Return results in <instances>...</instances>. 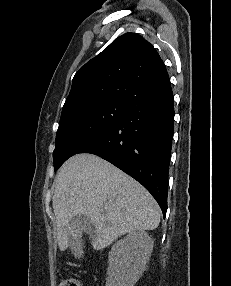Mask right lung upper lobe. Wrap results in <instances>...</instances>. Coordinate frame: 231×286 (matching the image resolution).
Segmentation results:
<instances>
[{"label": "right lung upper lobe", "mask_w": 231, "mask_h": 286, "mask_svg": "<svg viewBox=\"0 0 231 286\" xmlns=\"http://www.w3.org/2000/svg\"><path fill=\"white\" fill-rule=\"evenodd\" d=\"M168 79L152 44L136 33H125L75 74L61 117L99 102L126 103Z\"/></svg>", "instance_id": "obj_1"}]
</instances>
